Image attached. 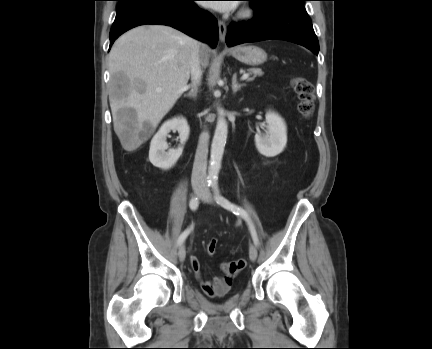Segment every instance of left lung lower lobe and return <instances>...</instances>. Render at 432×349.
Masks as SVG:
<instances>
[{"instance_id":"0a47b994","label":"left lung lower lobe","mask_w":432,"mask_h":349,"mask_svg":"<svg viewBox=\"0 0 432 349\" xmlns=\"http://www.w3.org/2000/svg\"><path fill=\"white\" fill-rule=\"evenodd\" d=\"M251 2L255 18L245 24L233 23L229 26L226 37L228 46L278 39L302 45L318 54V39L303 4L291 0Z\"/></svg>"}]
</instances>
